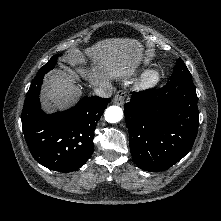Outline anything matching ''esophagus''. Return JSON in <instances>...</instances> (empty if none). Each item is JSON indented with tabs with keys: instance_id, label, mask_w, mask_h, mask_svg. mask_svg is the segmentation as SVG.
Here are the masks:
<instances>
[{
	"instance_id": "34e87169",
	"label": "esophagus",
	"mask_w": 221,
	"mask_h": 221,
	"mask_svg": "<svg viewBox=\"0 0 221 221\" xmlns=\"http://www.w3.org/2000/svg\"><path fill=\"white\" fill-rule=\"evenodd\" d=\"M126 93L124 91H118L113 99L114 103L123 106L126 99Z\"/></svg>"
}]
</instances>
